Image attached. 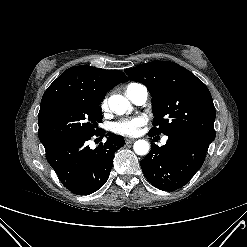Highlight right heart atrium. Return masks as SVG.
Instances as JSON below:
<instances>
[{"label": "right heart atrium", "instance_id": "d8ad5b80", "mask_svg": "<svg viewBox=\"0 0 247 247\" xmlns=\"http://www.w3.org/2000/svg\"><path fill=\"white\" fill-rule=\"evenodd\" d=\"M108 107V99L107 97L103 98L101 103H100V108L102 111H106Z\"/></svg>", "mask_w": 247, "mask_h": 247}]
</instances>
